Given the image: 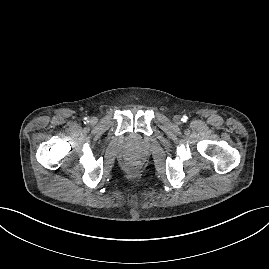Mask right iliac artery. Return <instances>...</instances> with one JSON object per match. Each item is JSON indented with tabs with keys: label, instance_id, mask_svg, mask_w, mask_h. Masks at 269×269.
Segmentation results:
<instances>
[{
	"label": "right iliac artery",
	"instance_id": "right-iliac-artery-1",
	"mask_svg": "<svg viewBox=\"0 0 269 269\" xmlns=\"http://www.w3.org/2000/svg\"><path fill=\"white\" fill-rule=\"evenodd\" d=\"M89 122V118L88 117H85L84 118V123H88Z\"/></svg>",
	"mask_w": 269,
	"mask_h": 269
}]
</instances>
